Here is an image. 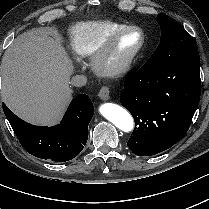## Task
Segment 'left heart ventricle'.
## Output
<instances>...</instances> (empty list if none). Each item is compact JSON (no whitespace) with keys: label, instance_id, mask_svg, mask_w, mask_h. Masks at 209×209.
<instances>
[{"label":"left heart ventricle","instance_id":"obj_1","mask_svg":"<svg viewBox=\"0 0 209 209\" xmlns=\"http://www.w3.org/2000/svg\"><path fill=\"white\" fill-rule=\"evenodd\" d=\"M141 41V35L138 32H131L123 35L117 42L112 53L111 60L117 62L132 53Z\"/></svg>","mask_w":209,"mask_h":209}]
</instances>
